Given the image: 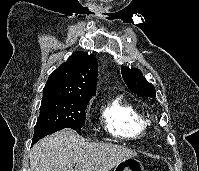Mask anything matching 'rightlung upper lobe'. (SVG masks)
Listing matches in <instances>:
<instances>
[{
	"label": "right lung upper lobe",
	"mask_w": 199,
	"mask_h": 171,
	"mask_svg": "<svg viewBox=\"0 0 199 171\" xmlns=\"http://www.w3.org/2000/svg\"><path fill=\"white\" fill-rule=\"evenodd\" d=\"M97 71V59L93 54L76 51L51 73L43 91L90 99L96 93Z\"/></svg>",
	"instance_id": "obj_1"
}]
</instances>
